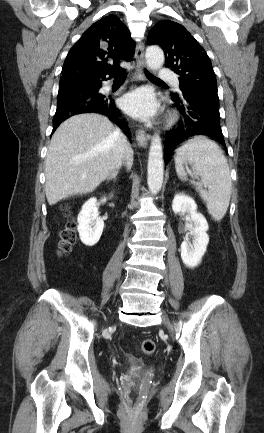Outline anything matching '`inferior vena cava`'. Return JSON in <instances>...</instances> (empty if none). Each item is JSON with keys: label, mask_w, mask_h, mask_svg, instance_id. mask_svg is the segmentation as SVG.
<instances>
[{"label": "inferior vena cava", "mask_w": 264, "mask_h": 433, "mask_svg": "<svg viewBox=\"0 0 264 433\" xmlns=\"http://www.w3.org/2000/svg\"><path fill=\"white\" fill-rule=\"evenodd\" d=\"M115 136L117 138V148L119 152V161L116 164V167H121L122 163L126 161L127 152L130 149V144L127 141V137L120 131V129H116Z\"/></svg>", "instance_id": "obj_1"}]
</instances>
